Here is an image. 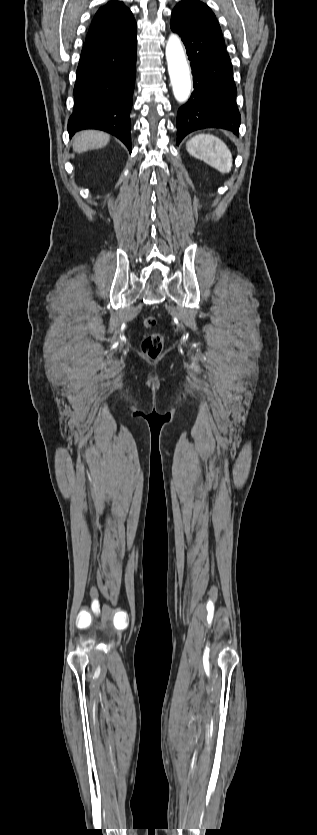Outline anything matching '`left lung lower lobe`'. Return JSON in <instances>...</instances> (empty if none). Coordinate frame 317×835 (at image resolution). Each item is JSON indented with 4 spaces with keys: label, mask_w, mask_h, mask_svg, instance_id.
Listing matches in <instances>:
<instances>
[{
    "label": "left lung lower lobe",
    "mask_w": 317,
    "mask_h": 835,
    "mask_svg": "<svg viewBox=\"0 0 317 835\" xmlns=\"http://www.w3.org/2000/svg\"><path fill=\"white\" fill-rule=\"evenodd\" d=\"M171 29L185 44L194 91L177 114V145L190 132L222 128L238 133L240 113L233 69L221 28L212 10L196 0H183L172 12Z\"/></svg>",
    "instance_id": "left-lung-lower-lobe-1"
}]
</instances>
